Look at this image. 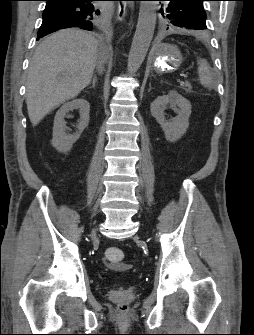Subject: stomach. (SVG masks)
<instances>
[{
    "label": "stomach",
    "mask_w": 254,
    "mask_h": 335,
    "mask_svg": "<svg viewBox=\"0 0 254 335\" xmlns=\"http://www.w3.org/2000/svg\"><path fill=\"white\" fill-rule=\"evenodd\" d=\"M183 57L179 48L168 43L158 44L151 56V64L158 73L172 72L181 65Z\"/></svg>",
    "instance_id": "0dacf381"
}]
</instances>
